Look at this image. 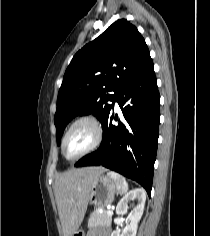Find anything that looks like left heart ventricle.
<instances>
[{"instance_id": "obj_1", "label": "left heart ventricle", "mask_w": 210, "mask_h": 236, "mask_svg": "<svg viewBox=\"0 0 210 236\" xmlns=\"http://www.w3.org/2000/svg\"><path fill=\"white\" fill-rule=\"evenodd\" d=\"M94 139V130L88 123H80L76 125L68 137L64 145V152L68 158H72L86 148H88Z\"/></svg>"}]
</instances>
